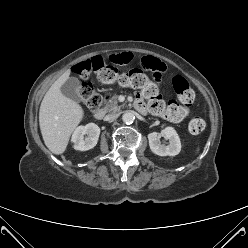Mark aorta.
<instances>
[{"mask_svg": "<svg viewBox=\"0 0 248 248\" xmlns=\"http://www.w3.org/2000/svg\"><path fill=\"white\" fill-rule=\"evenodd\" d=\"M122 120L123 122H125L126 124H131L134 122L135 120V116L132 112L128 111V112H125L122 116Z\"/></svg>", "mask_w": 248, "mask_h": 248, "instance_id": "aorta-1", "label": "aorta"}]
</instances>
